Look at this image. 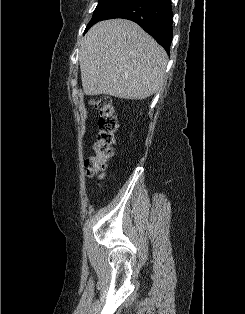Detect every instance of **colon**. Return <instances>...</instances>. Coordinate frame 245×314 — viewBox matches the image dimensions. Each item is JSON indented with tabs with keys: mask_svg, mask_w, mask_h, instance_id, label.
I'll list each match as a JSON object with an SVG mask.
<instances>
[{
	"mask_svg": "<svg viewBox=\"0 0 245 314\" xmlns=\"http://www.w3.org/2000/svg\"><path fill=\"white\" fill-rule=\"evenodd\" d=\"M99 110V132L94 144V156L87 160V172L90 178L102 179L107 162L113 157L117 121L109 96H100L92 100Z\"/></svg>",
	"mask_w": 245,
	"mask_h": 314,
	"instance_id": "obj_1",
	"label": "colon"
}]
</instances>
